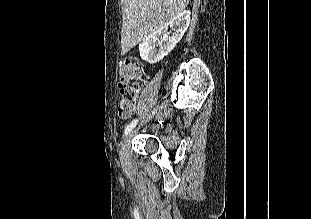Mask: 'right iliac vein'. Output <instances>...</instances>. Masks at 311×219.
Returning <instances> with one entry per match:
<instances>
[{"label":"right iliac vein","instance_id":"1","mask_svg":"<svg viewBox=\"0 0 311 219\" xmlns=\"http://www.w3.org/2000/svg\"><path fill=\"white\" fill-rule=\"evenodd\" d=\"M151 117L152 116L150 115L148 119H150ZM135 131L136 130H132L131 132H129V134L127 135V137L125 138L123 142L122 150L120 153V159L122 163H127L128 161L130 142H131L133 135L135 134Z\"/></svg>","mask_w":311,"mask_h":219}]
</instances>
